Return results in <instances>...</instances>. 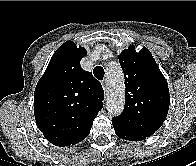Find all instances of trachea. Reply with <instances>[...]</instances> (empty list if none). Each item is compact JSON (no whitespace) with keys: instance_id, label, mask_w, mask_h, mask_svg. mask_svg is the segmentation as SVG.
I'll list each match as a JSON object with an SVG mask.
<instances>
[{"instance_id":"trachea-1","label":"trachea","mask_w":196,"mask_h":166,"mask_svg":"<svg viewBox=\"0 0 196 166\" xmlns=\"http://www.w3.org/2000/svg\"><path fill=\"white\" fill-rule=\"evenodd\" d=\"M93 74L98 80H102L105 74L103 67L101 66L95 67L93 70Z\"/></svg>"}]
</instances>
